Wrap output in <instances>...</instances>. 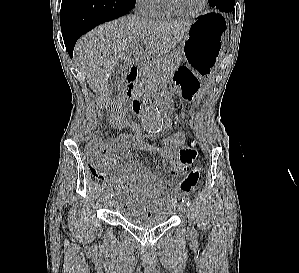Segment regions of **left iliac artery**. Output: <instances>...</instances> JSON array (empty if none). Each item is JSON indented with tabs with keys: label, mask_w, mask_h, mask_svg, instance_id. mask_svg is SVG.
Here are the masks:
<instances>
[{
	"label": "left iliac artery",
	"mask_w": 299,
	"mask_h": 273,
	"mask_svg": "<svg viewBox=\"0 0 299 273\" xmlns=\"http://www.w3.org/2000/svg\"><path fill=\"white\" fill-rule=\"evenodd\" d=\"M182 202L185 203L186 206H188V207L190 206V203H191L190 199L188 197H185V196L182 198Z\"/></svg>",
	"instance_id": "1"
}]
</instances>
